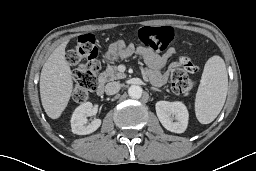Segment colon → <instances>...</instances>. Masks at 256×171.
<instances>
[{
	"label": "colon",
	"instance_id": "colon-1",
	"mask_svg": "<svg viewBox=\"0 0 256 171\" xmlns=\"http://www.w3.org/2000/svg\"><path fill=\"white\" fill-rule=\"evenodd\" d=\"M173 39V29L169 26H145L138 31L140 44L153 52H164ZM99 49L93 34L81 35L74 48L68 54L69 62L75 66L73 100L85 102L97 85L100 64L97 60ZM197 71V66L187 56H181L172 65L170 80L175 92L186 94L194 87L190 74Z\"/></svg>",
	"mask_w": 256,
	"mask_h": 171
}]
</instances>
